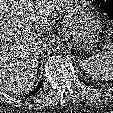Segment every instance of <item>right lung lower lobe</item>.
<instances>
[{"label":"right lung lower lobe","mask_w":113,"mask_h":113,"mask_svg":"<svg viewBox=\"0 0 113 113\" xmlns=\"http://www.w3.org/2000/svg\"><path fill=\"white\" fill-rule=\"evenodd\" d=\"M41 86H42V82L36 87V89L32 92V94L36 93L41 88Z\"/></svg>","instance_id":"1"}]
</instances>
